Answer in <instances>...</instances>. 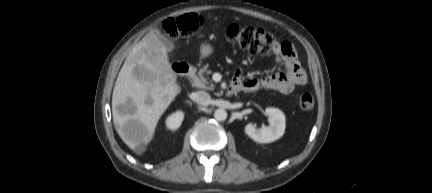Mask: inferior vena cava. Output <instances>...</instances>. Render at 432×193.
<instances>
[{
	"instance_id": "inferior-vena-cava-1",
	"label": "inferior vena cava",
	"mask_w": 432,
	"mask_h": 193,
	"mask_svg": "<svg viewBox=\"0 0 432 193\" xmlns=\"http://www.w3.org/2000/svg\"><path fill=\"white\" fill-rule=\"evenodd\" d=\"M194 100L200 105L207 106L211 102V97L205 91H198L195 93Z\"/></svg>"
}]
</instances>
